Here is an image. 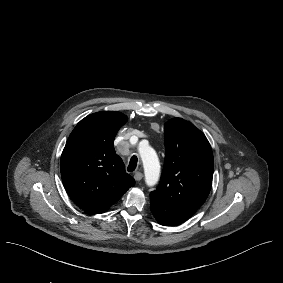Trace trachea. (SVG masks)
Wrapping results in <instances>:
<instances>
[{
  "mask_svg": "<svg viewBox=\"0 0 283 283\" xmlns=\"http://www.w3.org/2000/svg\"><path fill=\"white\" fill-rule=\"evenodd\" d=\"M137 162H138L137 156H136V155H133V156L131 157L130 161H129V165H128L127 170H128L129 172L134 171V170L136 169V167H137Z\"/></svg>",
  "mask_w": 283,
  "mask_h": 283,
  "instance_id": "obj_1",
  "label": "trachea"
}]
</instances>
